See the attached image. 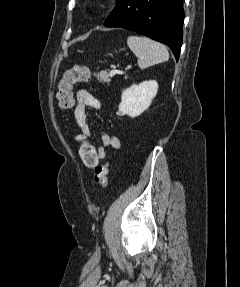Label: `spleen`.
Listing matches in <instances>:
<instances>
[{
    "label": "spleen",
    "mask_w": 240,
    "mask_h": 287,
    "mask_svg": "<svg viewBox=\"0 0 240 287\" xmlns=\"http://www.w3.org/2000/svg\"><path fill=\"white\" fill-rule=\"evenodd\" d=\"M127 45L138 58V66L141 69L168 61L169 59L166 47L148 37L131 35L127 39Z\"/></svg>",
    "instance_id": "obj_1"
}]
</instances>
